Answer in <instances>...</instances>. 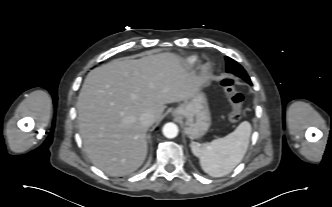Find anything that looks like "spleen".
<instances>
[{"mask_svg":"<svg viewBox=\"0 0 332 207\" xmlns=\"http://www.w3.org/2000/svg\"><path fill=\"white\" fill-rule=\"evenodd\" d=\"M251 134V125L244 121L230 134L210 143H191L193 154L199 158L204 172L212 177L229 174L243 159Z\"/></svg>","mask_w":332,"mask_h":207,"instance_id":"1","label":"spleen"}]
</instances>
